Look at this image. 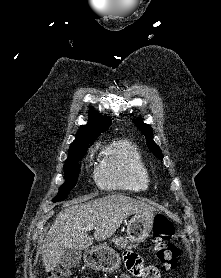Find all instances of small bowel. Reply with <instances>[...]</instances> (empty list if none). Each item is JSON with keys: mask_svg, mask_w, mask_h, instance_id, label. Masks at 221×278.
I'll return each instance as SVG.
<instances>
[{"mask_svg": "<svg viewBox=\"0 0 221 278\" xmlns=\"http://www.w3.org/2000/svg\"><path fill=\"white\" fill-rule=\"evenodd\" d=\"M124 262L127 270L133 276L138 278H151L148 272V266H146L141 257L135 253L127 252L124 255ZM120 278H131L128 274H122Z\"/></svg>", "mask_w": 221, "mask_h": 278, "instance_id": "obj_1", "label": "small bowel"}]
</instances>
